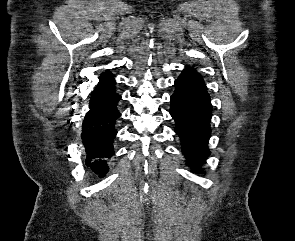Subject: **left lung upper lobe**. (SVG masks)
<instances>
[{"label": "left lung upper lobe", "instance_id": "1", "mask_svg": "<svg viewBox=\"0 0 295 241\" xmlns=\"http://www.w3.org/2000/svg\"><path fill=\"white\" fill-rule=\"evenodd\" d=\"M182 75L187 76L188 78H190L193 82H196L198 84H200L202 87L206 88L205 84H204V80L203 78L192 68L187 67L183 72Z\"/></svg>", "mask_w": 295, "mask_h": 241}]
</instances>
